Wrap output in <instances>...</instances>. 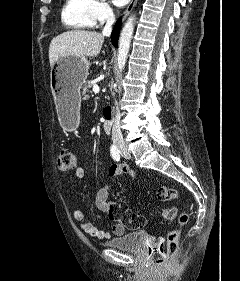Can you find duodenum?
Wrapping results in <instances>:
<instances>
[{
  "label": "duodenum",
  "instance_id": "410a0bca",
  "mask_svg": "<svg viewBox=\"0 0 240 281\" xmlns=\"http://www.w3.org/2000/svg\"><path fill=\"white\" fill-rule=\"evenodd\" d=\"M102 128L106 134H110L112 131V115L111 111L105 110L102 120Z\"/></svg>",
  "mask_w": 240,
  "mask_h": 281
}]
</instances>
